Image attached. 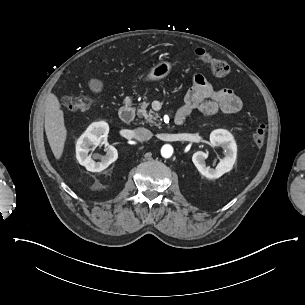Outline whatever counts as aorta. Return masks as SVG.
<instances>
[{
	"label": "aorta",
	"mask_w": 305,
	"mask_h": 305,
	"mask_svg": "<svg viewBox=\"0 0 305 305\" xmlns=\"http://www.w3.org/2000/svg\"><path fill=\"white\" fill-rule=\"evenodd\" d=\"M173 154V147L170 144H165L161 148V155L163 158H170Z\"/></svg>",
	"instance_id": "1"
}]
</instances>
